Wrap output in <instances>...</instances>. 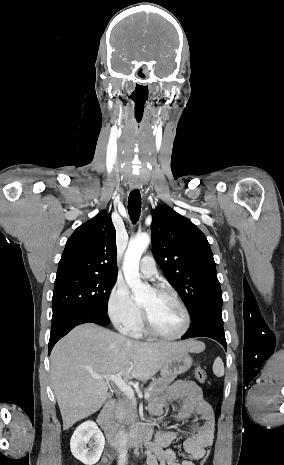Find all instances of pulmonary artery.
Listing matches in <instances>:
<instances>
[{
  "mask_svg": "<svg viewBox=\"0 0 284 465\" xmlns=\"http://www.w3.org/2000/svg\"><path fill=\"white\" fill-rule=\"evenodd\" d=\"M140 274L147 279L154 280L158 274L156 265L154 263L153 254H144L143 260L139 265Z\"/></svg>",
  "mask_w": 284,
  "mask_h": 465,
  "instance_id": "1",
  "label": "pulmonary artery"
}]
</instances>
